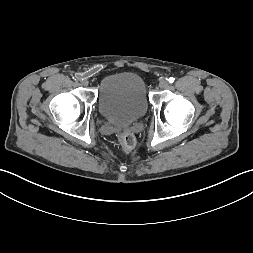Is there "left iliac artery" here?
<instances>
[{
  "label": "left iliac artery",
  "instance_id": "1",
  "mask_svg": "<svg viewBox=\"0 0 253 253\" xmlns=\"http://www.w3.org/2000/svg\"><path fill=\"white\" fill-rule=\"evenodd\" d=\"M168 81H169V83H173V82H174V78H173V77H170V78L168 79Z\"/></svg>",
  "mask_w": 253,
  "mask_h": 253
}]
</instances>
